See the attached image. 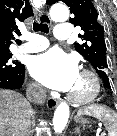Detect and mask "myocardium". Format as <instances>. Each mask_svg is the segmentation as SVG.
I'll use <instances>...</instances> for the list:
<instances>
[{
    "mask_svg": "<svg viewBox=\"0 0 117 136\" xmlns=\"http://www.w3.org/2000/svg\"><path fill=\"white\" fill-rule=\"evenodd\" d=\"M80 75L89 79L91 83V91L86 96H77L73 93L68 94V99L76 104H87L94 101L101 93V82L99 77L91 70L83 69Z\"/></svg>",
    "mask_w": 117,
    "mask_h": 136,
    "instance_id": "obj_1",
    "label": "myocardium"
}]
</instances>
